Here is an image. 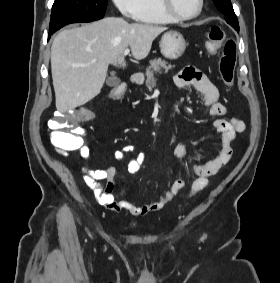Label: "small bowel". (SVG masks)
<instances>
[{"label": "small bowel", "instance_id": "small-bowel-1", "mask_svg": "<svg viewBox=\"0 0 280 283\" xmlns=\"http://www.w3.org/2000/svg\"><path fill=\"white\" fill-rule=\"evenodd\" d=\"M175 84L178 87L193 86L203 95L204 106L207 108L209 116L216 118L213 122V127L221 134L222 139L221 148L213 159L203 164L193 165L192 170L196 175V179L185 194V196H191L205 188L208 184V177L216 174L221 167L227 164L232 155V144L236 135L246 131V124L235 117L229 120L221 118L227 114V107L218 102L219 92L217 87L202 71L189 67L175 77ZM77 151L83 159H87L91 154L89 147L82 138L81 146ZM135 151L136 149L133 145H126L117 150L114 153V157L117 160H121L125 154L134 153ZM174 154L179 159L184 158L187 154L184 144L178 143L175 146ZM145 161L146 155L144 153H136L129 160L127 171L130 174H137ZM80 172L84 183L93 190L96 199L102 206L114 212L125 210L133 216H145L164 208L175 198L183 196L182 191L185 188V181L176 179L169 183L167 190L156 201L139 205L122 198L121 195L113 194L115 188V168L89 170L80 166ZM101 180L105 181V185L100 183Z\"/></svg>", "mask_w": 280, "mask_h": 283}]
</instances>
